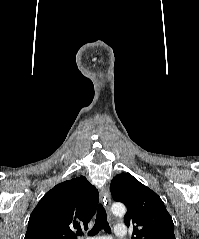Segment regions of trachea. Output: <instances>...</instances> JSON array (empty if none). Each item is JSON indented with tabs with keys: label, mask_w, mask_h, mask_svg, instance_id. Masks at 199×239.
Instances as JSON below:
<instances>
[{
	"label": "trachea",
	"mask_w": 199,
	"mask_h": 239,
	"mask_svg": "<svg viewBox=\"0 0 199 239\" xmlns=\"http://www.w3.org/2000/svg\"><path fill=\"white\" fill-rule=\"evenodd\" d=\"M101 229H104L108 233L111 232V228L109 226V223L107 222L106 211L104 207L100 204L98 206L95 224L93 228L88 232V235L90 236L96 235ZM79 235H82V232H80Z\"/></svg>",
	"instance_id": "trachea-1"
}]
</instances>
